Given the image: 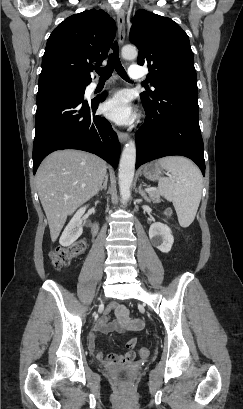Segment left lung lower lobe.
<instances>
[{"label": "left lung lower lobe", "mask_w": 243, "mask_h": 409, "mask_svg": "<svg viewBox=\"0 0 243 409\" xmlns=\"http://www.w3.org/2000/svg\"><path fill=\"white\" fill-rule=\"evenodd\" d=\"M141 100L146 119L136 135V168L164 156L182 155L193 160L204 176L197 83L173 85L157 100Z\"/></svg>", "instance_id": "obj_1"}]
</instances>
